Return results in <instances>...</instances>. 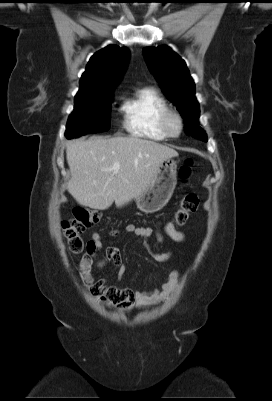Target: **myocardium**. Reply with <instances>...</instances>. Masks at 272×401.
<instances>
[{"label": "myocardium", "instance_id": "obj_1", "mask_svg": "<svg viewBox=\"0 0 272 401\" xmlns=\"http://www.w3.org/2000/svg\"><path fill=\"white\" fill-rule=\"evenodd\" d=\"M162 126L169 137H179L184 129V120L182 115L174 109H168L164 112Z\"/></svg>", "mask_w": 272, "mask_h": 401}]
</instances>
